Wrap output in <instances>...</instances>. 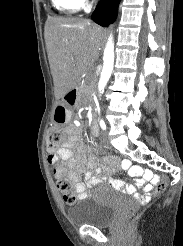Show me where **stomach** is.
<instances>
[{
	"label": "stomach",
	"mask_w": 183,
	"mask_h": 246,
	"mask_svg": "<svg viewBox=\"0 0 183 246\" xmlns=\"http://www.w3.org/2000/svg\"><path fill=\"white\" fill-rule=\"evenodd\" d=\"M56 112H57V114L60 113V112L64 114V118H65L64 122H67L69 120L70 113H69L68 110L60 109V110H57Z\"/></svg>",
	"instance_id": "obj_1"
}]
</instances>
